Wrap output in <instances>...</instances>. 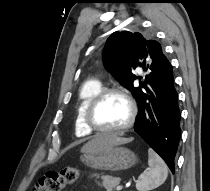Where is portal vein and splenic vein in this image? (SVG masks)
Returning <instances> with one entry per match:
<instances>
[{
  "mask_svg": "<svg viewBox=\"0 0 210 191\" xmlns=\"http://www.w3.org/2000/svg\"><path fill=\"white\" fill-rule=\"evenodd\" d=\"M122 189H123V186H121V185H119V186L116 187V190H117V191H120V190H122Z\"/></svg>",
  "mask_w": 210,
  "mask_h": 191,
  "instance_id": "18ae733b",
  "label": "portal vein and splenic vein"
}]
</instances>
